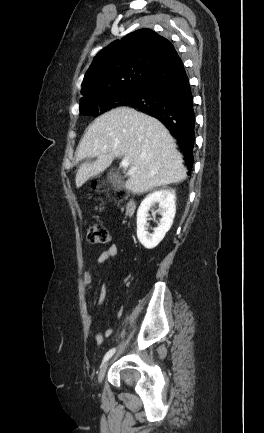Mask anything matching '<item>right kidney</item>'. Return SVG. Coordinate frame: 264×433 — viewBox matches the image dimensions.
<instances>
[{
    "label": "right kidney",
    "instance_id": "1",
    "mask_svg": "<svg viewBox=\"0 0 264 433\" xmlns=\"http://www.w3.org/2000/svg\"><path fill=\"white\" fill-rule=\"evenodd\" d=\"M176 194L173 189H163L149 194L140 204L137 211V238L147 249L156 247L170 230L176 213ZM159 203L162 218L151 234L147 231V217L150 207Z\"/></svg>",
    "mask_w": 264,
    "mask_h": 433
}]
</instances>
